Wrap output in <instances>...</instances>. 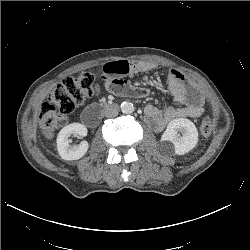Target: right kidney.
I'll return each mask as SVG.
<instances>
[{
  "label": "right kidney",
  "instance_id": "obj_1",
  "mask_svg": "<svg viewBox=\"0 0 250 250\" xmlns=\"http://www.w3.org/2000/svg\"><path fill=\"white\" fill-rule=\"evenodd\" d=\"M84 137L87 135V128L80 123H72L65 126L57 136L58 153L64 160H78L85 155L89 146L87 141H82L77 146H71L69 139L71 135Z\"/></svg>",
  "mask_w": 250,
  "mask_h": 250
}]
</instances>
